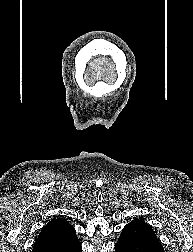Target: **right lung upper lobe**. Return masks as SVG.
Masks as SVG:
<instances>
[{"label":"right lung upper lobe","instance_id":"right-lung-upper-lobe-1","mask_svg":"<svg viewBox=\"0 0 193 252\" xmlns=\"http://www.w3.org/2000/svg\"><path fill=\"white\" fill-rule=\"evenodd\" d=\"M74 229L65 219H54L50 221L41 231L38 236L37 242L46 240L60 232H66L68 230Z\"/></svg>","mask_w":193,"mask_h":252}]
</instances>
